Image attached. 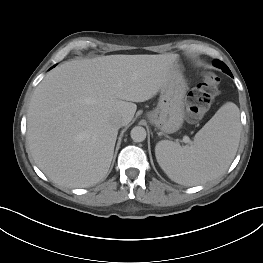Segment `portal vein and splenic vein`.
<instances>
[{
    "mask_svg": "<svg viewBox=\"0 0 263 263\" xmlns=\"http://www.w3.org/2000/svg\"><path fill=\"white\" fill-rule=\"evenodd\" d=\"M183 141H184L185 143H190V139H189L188 136H184V137H183Z\"/></svg>",
    "mask_w": 263,
    "mask_h": 263,
    "instance_id": "1",
    "label": "portal vein and splenic vein"
}]
</instances>
